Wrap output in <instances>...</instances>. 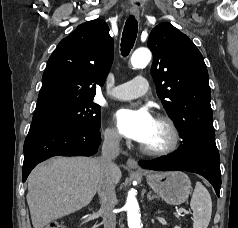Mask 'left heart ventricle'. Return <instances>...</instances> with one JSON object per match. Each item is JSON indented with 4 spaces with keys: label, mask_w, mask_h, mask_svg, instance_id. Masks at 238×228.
I'll list each match as a JSON object with an SVG mask.
<instances>
[{
    "label": "left heart ventricle",
    "mask_w": 238,
    "mask_h": 228,
    "mask_svg": "<svg viewBox=\"0 0 238 228\" xmlns=\"http://www.w3.org/2000/svg\"><path fill=\"white\" fill-rule=\"evenodd\" d=\"M169 141V132L167 128L160 122L155 120L151 134L142 143L149 148H160L165 146Z\"/></svg>",
    "instance_id": "left-heart-ventricle-1"
}]
</instances>
